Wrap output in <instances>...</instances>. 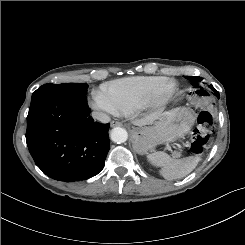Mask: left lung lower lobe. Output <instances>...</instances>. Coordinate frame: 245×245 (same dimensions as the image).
Returning <instances> with one entry per match:
<instances>
[{
	"mask_svg": "<svg viewBox=\"0 0 245 245\" xmlns=\"http://www.w3.org/2000/svg\"><path fill=\"white\" fill-rule=\"evenodd\" d=\"M214 94L219 98V94L216 91H214Z\"/></svg>",
	"mask_w": 245,
	"mask_h": 245,
	"instance_id": "left-lung-lower-lobe-1",
	"label": "left lung lower lobe"
}]
</instances>
